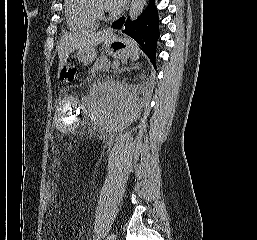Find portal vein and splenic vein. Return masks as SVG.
I'll return each mask as SVG.
<instances>
[{"label": "portal vein and splenic vein", "instance_id": "18ae733b", "mask_svg": "<svg viewBox=\"0 0 257 240\" xmlns=\"http://www.w3.org/2000/svg\"><path fill=\"white\" fill-rule=\"evenodd\" d=\"M119 67V62H113L112 68H118Z\"/></svg>", "mask_w": 257, "mask_h": 240}]
</instances>
